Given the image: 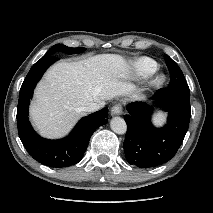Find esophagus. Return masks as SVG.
Returning <instances> with one entry per match:
<instances>
[{"label": "esophagus", "instance_id": "1", "mask_svg": "<svg viewBox=\"0 0 213 213\" xmlns=\"http://www.w3.org/2000/svg\"><path fill=\"white\" fill-rule=\"evenodd\" d=\"M111 115H121L123 113V108L121 104H115L112 108H111Z\"/></svg>", "mask_w": 213, "mask_h": 213}]
</instances>
